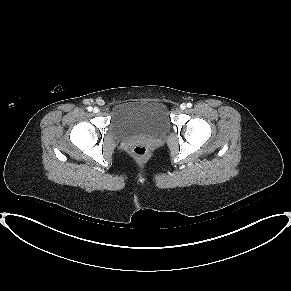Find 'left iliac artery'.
I'll return each instance as SVG.
<instances>
[{
	"label": "left iliac artery",
	"mask_w": 291,
	"mask_h": 291,
	"mask_svg": "<svg viewBox=\"0 0 291 291\" xmlns=\"http://www.w3.org/2000/svg\"><path fill=\"white\" fill-rule=\"evenodd\" d=\"M192 106L191 103H187V107L190 108Z\"/></svg>",
	"instance_id": "1"
}]
</instances>
